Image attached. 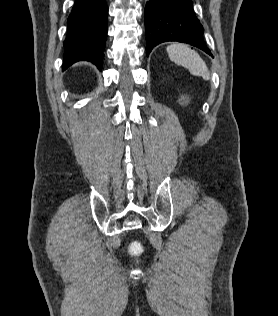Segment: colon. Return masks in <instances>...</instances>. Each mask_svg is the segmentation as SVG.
Returning a JSON list of instances; mask_svg holds the SVG:
<instances>
[{
    "mask_svg": "<svg viewBox=\"0 0 278 316\" xmlns=\"http://www.w3.org/2000/svg\"><path fill=\"white\" fill-rule=\"evenodd\" d=\"M132 252L133 253H139L140 252V246L138 244L133 245Z\"/></svg>",
    "mask_w": 278,
    "mask_h": 316,
    "instance_id": "5ec220e1",
    "label": "colon"
}]
</instances>
